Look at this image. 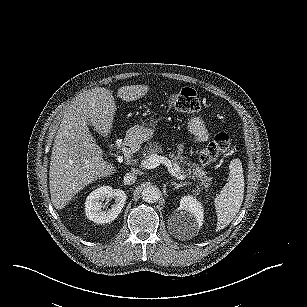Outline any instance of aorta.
Masks as SVG:
<instances>
[{
	"instance_id": "1",
	"label": "aorta",
	"mask_w": 307,
	"mask_h": 307,
	"mask_svg": "<svg viewBox=\"0 0 307 307\" xmlns=\"http://www.w3.org/2000/svg\"><path fill=\"white\" fill-rule=\"evenodd\" d=\"M142 198L148 203H154L158 201L161 196V190L154 185H146L142 190Z\"/></svg>"
}]
</instances>
